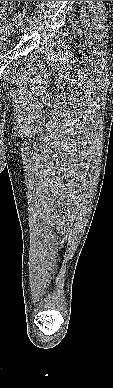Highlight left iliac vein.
<instances>
[{
    "instance_id": "4c4485c4",
    "label": "left iliac vein",
    "mask_w": 113,
    "mask_h": 388,
    "mask_svg": "<svg viewBox=\"0 0 113 388\" xmlns=\"http://www.w3.org/2000/svg\"><path fill=\"white\" fill-rule=\"evenodd\" d=\"M29 29H30V25H29L28 23H27V24H24V25L21 27V31H22L23 33L28 32Z\"/></svg>"
}]
</instances>
